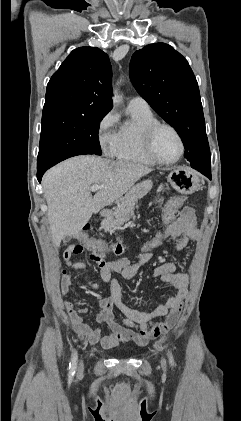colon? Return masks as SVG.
Instances as JSON below:
<instances>
[{
	"label": "colon",
	"instance_id": "colon-1",
	"mask_svg": "<svg viewBox=\"0 0 241 421\" xmlns=\"http://www.w3.org/2000/svg\"><path fill=\"white\" fill-rule=\"evenodd\" d=\"M185 202L183 196L172 197L162 208L161 211V225L156 230L154 235L149 238L141 246L142 252H151L152 250L160 247L166 238V230L172 224L181 207ZM78 242L72 243L69 247L73 254H80L85 251H89L90 258L102 266L105 261L103 260V254L106 252L120 254L124 248L120 244H107L103 241H94L88 238L85 234L78 236Z\"/></svg>",
	"mask_w": 241,
	"mask_h": 421
}]
</instances>
